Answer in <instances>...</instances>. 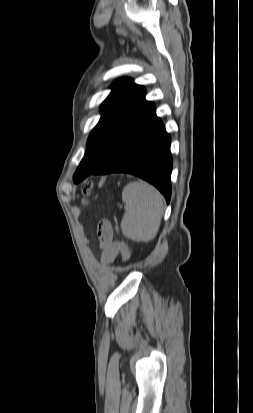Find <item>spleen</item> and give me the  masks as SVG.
Masks as SVG:
<instances>
[{"mask_svg":"<svg viewBox=\"0 0 253 413\" xmlns=\"http://www.w3.org/2000/svg\"><path fill=\"white\" fill-rule=\"evenodd\" d=\"M125 214L121 230L134 241L149 242L156 236L162 215L164 198L152 185L139 181L127 184L122 191Z\"/></svg>","mask_w":253,"mask_h":413,"instance_id":"obj_1","label":"spleen"}]
</instances>
